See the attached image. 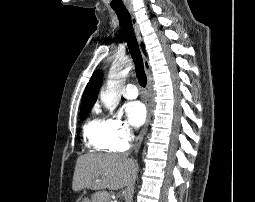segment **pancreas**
I'll return each mask as SVG.
<instances>
[{
	"instance_id": "cf45deb5",
	"label": "pancreas",
	"mask_w": 255,
	"mask_h": 202,
	"mask_svg": "<svg viewBox=\"0 0 255 202\" xmlns=\"http://www.w3.org/2000/svg\"><path fill=\"white\" fill-rule=\"evenodd\" d=\"M92 202H109L108 193L105 191H99L93 194Z\"/></svg>"
}]
</instances>
